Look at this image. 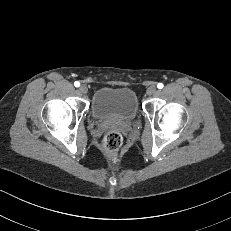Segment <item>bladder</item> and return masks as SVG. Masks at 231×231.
Returning <instances> with one entry per match:
<instances>
[{"instance_id": "obj_1", "label": "bladder", "mask_w": 231, "mask_h": 231, "mask_svg": "<svg viewBox=\"0 0 231 231\" xmlns=\"http://www.w3.org/2000/svg\"><path fill=\"white\" fill-rule=\"evenodd\" d=\"M91 113L95 119L101 121H131L138 113L137 96L126 87L100 88L92 97Z\"/></svg>"}]
</instances>
